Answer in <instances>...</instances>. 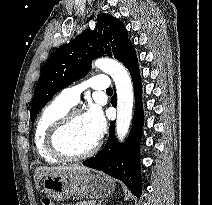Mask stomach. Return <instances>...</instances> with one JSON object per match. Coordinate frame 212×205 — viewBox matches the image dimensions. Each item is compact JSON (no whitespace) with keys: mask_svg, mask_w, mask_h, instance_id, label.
<instances>
[{"mask_svg":"<svg viewBox=\"0 0 212 205\" xmlns=\"http://www.w3.org/2000/svg\"><path fill=\"white\" fill-rule=\"evenodd\" d=\"M42 192L56 201H63L72 196L87 199H103L115 191L114 181L97 172H62L46 175L42 182Z\"/></svg>","mask_w":212,"mask_h":205,"instance_id":"stomach-1","label":"stomach"}]
</instances>
